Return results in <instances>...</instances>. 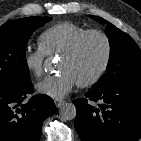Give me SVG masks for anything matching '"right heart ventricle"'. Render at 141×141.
Masks as SVG:
<instances>
[{
  "mask_svg": "<svg viewBox=\"0 0 141 141\" xmlns=\"http://www.w3.org/2000/svg\"><path fill=\"white\" fill-rule=\"evenodd\" d=\"M87 30L72 22H61L47 28L40 35L39 43L48 55L62 54Z\"/></svg>",
  "mask_w": 141,
  "mask_h": 141,
  "instance_id": "1",
  "label": "right heart ventricle"
}]
</instances>
